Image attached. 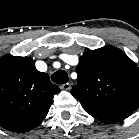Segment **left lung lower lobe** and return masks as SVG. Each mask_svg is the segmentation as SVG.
<instances>
[{
    "mask_svg": "<svg viewBox=\"0 0 139 139\" xmlns=\"http://www.w3.org/2000/svg\"><path fill=\"white\" fill-rule=\"evenodd\" d=\"M128 117L127 115H104V116H97L96 119L105 122V123H115L121 121Z\"/></svg>",
    "mask_w": 139,
    "mask_h": 139,
    "instance_id": "1",
    "label": "left lung lower lobe"
}]
</instances>
